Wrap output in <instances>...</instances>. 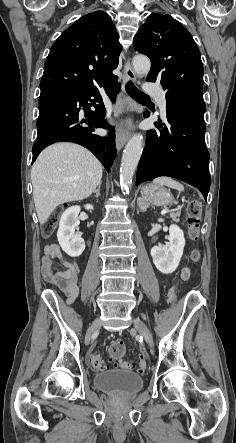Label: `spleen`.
<instances>
[{
  "mask_svg": "<svg viewBox=\"0 0 236 443\" xmlns=\"http://www.w3.org/2000/svg\"><path fill=\"white\" fill-rule=\"evenodd\" d=\"M153 183L161 186H167L178 191H184V186L170 177H158L153 180Z\"/></svg>",
  "mask_w": 236,
  "mask_h": 443,
  "instance_id": "1",
  "label": "spleen"
}]
</instances>
